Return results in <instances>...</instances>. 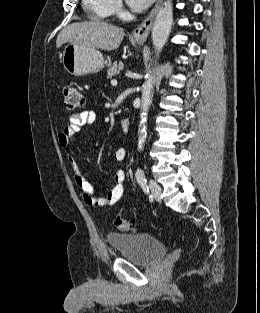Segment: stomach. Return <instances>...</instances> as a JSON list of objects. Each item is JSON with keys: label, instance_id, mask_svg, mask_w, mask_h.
<instances>
[{"label": "stomach", "instance_id": "obj_1", "mask_svg": "<svg viewBox=\"0 0 260 313\" xmlns=\"http://www.w3.org/2000/svg\"><path fill=\"white\" fill-rule=\"evenodd\" d=\"M138 44L143 41L136 40ZM65 70L74 76L94 74L104 67V58L95 48L70 43L65 46L62 54Z\"/></svg>", "mask_w": 260, "mask_h": 313}]
</instances>
